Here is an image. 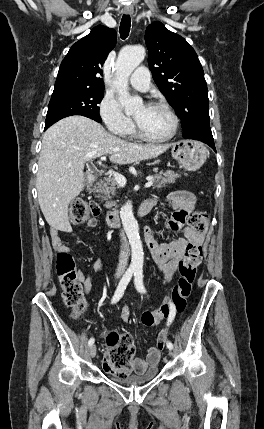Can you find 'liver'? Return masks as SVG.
Segmentation results:
<instances>
[{
  "instance_id": "liver-1",
  "label": "liver",
  "mask_w": 264,
  "mask_h": 429,
  "mask_svg": "<svg viewBox=\"0 0 264 429\" xmlns=\"http://www.w3.org/2000/svg\"><path fill=\"white\" fill-rule=\"evenodd\" d=\"M171 145H139L122 140L96 121L70 116L52 125L43 135L36 188L41 211L56 230L71 232L69 203L84 189V165L110 155L119 165L156 158Z\"/></svg>"
}]
</instances>
